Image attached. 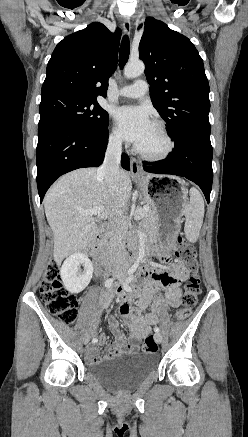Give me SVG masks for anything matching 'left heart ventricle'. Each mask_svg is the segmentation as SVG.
<instances>
[{
	"mask_svg": "<svg viewBox=\"0 0 248 437\" xmlns=\"http://www.w3.org/2000/svg\"><path fill=\"white\" fill-rule=\"evenodd\" d=\"M136 146L146 153L159 154L166 148V142L159 129L152 125L147 135Z\"/></svg>",
	"mask_w": 248,
	"mask_h": 437,
	"instance_id": "1",
	"label": "left heart ventricle"
}]
</instances>
